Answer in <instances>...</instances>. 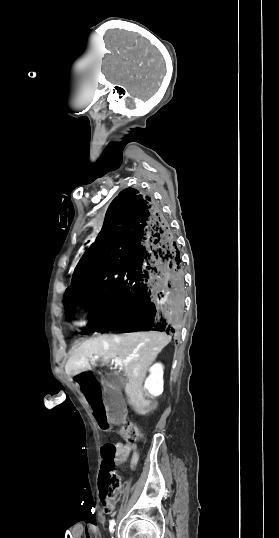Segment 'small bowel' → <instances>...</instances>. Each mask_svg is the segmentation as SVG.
Returning a JSON list of instances; mask_svg holds the SVG:
<instances>
[{
  "instance_id": "obj_1",
  "label": "small bowel",
  "mask_w": 279,
  "mask_h": 538,
  "mask_svg": "<svg viewBox=\"0 0 279 538\" xmlns=\"http://www.w3.org/2000/svg\"><path fill=\"white\" fill-rule=\"evenodd\" d=\"M113 446L117 452L116 463H124L130 458L131 465L136 464L138 456L135 445L115 443Z\"/></svg>"
}]
</instances>
